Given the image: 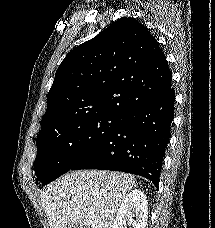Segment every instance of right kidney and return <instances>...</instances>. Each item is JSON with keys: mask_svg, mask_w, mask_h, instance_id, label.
I'll return each mask as SVG.
<instances>
[{"mask_svg": "<svg viewBox=\"0 0 215 228\" xmlns=\"http://www.w3.org/2000/svg\"><path fill=\"white\" fill-rule=\"evenodd\" d=\"M148 218L147 200L141 190H132L122 200L112 228H146Z\"/></svg>", "mask_w": 215, "mask_h": 228, "instance_id": "ca27d5eb", "label": "right kidney"}]
</instances>
